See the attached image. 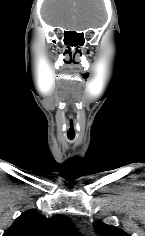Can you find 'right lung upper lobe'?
Listing matches in <instances>:
<instances>
[{
    "instance_id": "1",
    "label": "right lung upper lobe",
    "mask_w": 145,
    "mask_h": 236,
    "mask_svg": "<svg viewBox=\"0 0 145 236\" xmlns=\"http://www.w3.org/2000/svg\"><path fill=\"white\" fill-rule=\"evenodd\" d=\"M3 236H79L72 221L64 215L45 218L34 210L22 213Z\"/></svg>"
}]
</instances>
